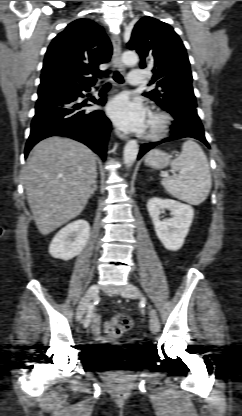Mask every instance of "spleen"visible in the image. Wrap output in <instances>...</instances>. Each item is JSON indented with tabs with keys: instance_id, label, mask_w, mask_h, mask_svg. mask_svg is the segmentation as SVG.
I'll use <instances>...</instances> for the list:
<instances>
[{
	"instance_id": "3e777b00",
	"label": "spleen",
	"mask_w": 242,
	"mask_h": 416,
	"mask_svg": "<svg viewBox=\"0 0 242 416\" xmlns=\"http://www.w3.org/2000/svg\"><path fill=\"white\" fill-rule=\"evenodd\" d=\"M171 168L178 174L161 181L168 193L192 205H199L207 198L212 180L207 157L199 144L185 141L181 154L171 162Z\"/></svg>"
}]
</instances>
